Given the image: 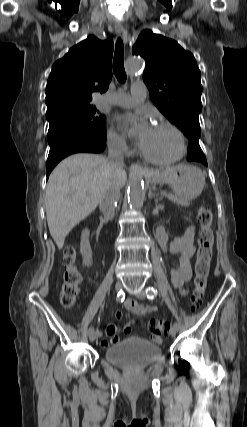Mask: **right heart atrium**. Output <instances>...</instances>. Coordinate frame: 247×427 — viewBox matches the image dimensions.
I'll return each instance as SVG.
<instances>
[{
  "label": "right heart atrium",
  "mask_w": 247,
  "mask_h": 427,
  "mask_svg": "<svg viewBox=\"0 0 247 427\" xmlns=\"http://www.w3.org/2000/svg\"><path fill=\"white\" fill-rule=\"evenodd\" d=\"M106 143L110 150L121 153L128 154L130 148L128 146L125 138L119 134L113 127H110L106 133Z\"/></svg>",
  "instance_id": "right-heart-atrium-1"
}]
</instances>
